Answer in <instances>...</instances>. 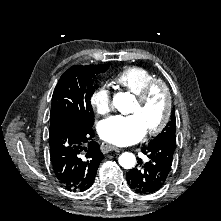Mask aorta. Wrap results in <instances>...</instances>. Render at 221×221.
I'll return each instance as SVG.
<instances>
[{
  "mask_svg": "<svg viewBox=\"0 0 221 221\" xmlns=\"http://www.w3.org/2000/svg\"><path fill=\"white\" fill-rule=\"evenodd\" d=\"M134 101L133 95L126 92H119L113 98L114 106L120 112H126ZM119 164L125 169H131L136 164V158L133 153L125 152L119 157Z\"/></svg>",
  "mask_w": 221,
  "mask_h": 221,
  "instance_id": "1",
  "label": "aorta"
}]
</instances>
